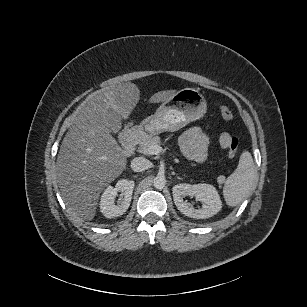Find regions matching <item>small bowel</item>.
I'll use <instances>...</instances> for the list:
<instances>
[{
  "label": "small bowel",
  "mask_w": 307,
  "mask_h": 307,
  "mask_svg": "<svg viewBox=\"0 0 307 307\" xmlns=\"http://www.w3.org/2000/svg\"><path fill=\"white\" fill-rule=\"evenodd\" d=\"M232 138L229 133L223 132L219 138L220 147L228 148ZM208 144L209 138L200 127L188 129L179 138V145L184 156L197 163H203L207 159Z\"/></svg>",
  "instance_id": "c3829d8e"
}]
</instances>
